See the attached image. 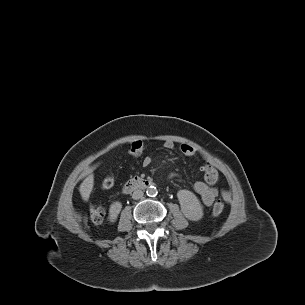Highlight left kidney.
I'll list each match as a JSON object with an SVG mask.
<instances>
[{"label": "left kidney", "instance_id": "left-kidney-1", "mask_svg": "<svg viewBox=\"0 0 305 305\" xmlns=\"http://www.w3.org/2000/svg\"><path fill=\"white\" fill-rule=\"evenodd\" d=\"M177 198L181 211L188 220L198 221L203 217V206L193 192L186 189L179 190Z\"/></svg>", "mask_w": 305, "mask_h": 305}]
</instances>
